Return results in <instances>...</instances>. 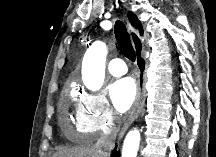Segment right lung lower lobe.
Listing matches in <instances>:
<instances>
[{"mask_svg":"<svg viewBox=\"0 0 216 157\" xmlns=\"http://www.w3.org/2000/svg\"><path fill=\"white\" fill-rule=\"evenodd\" d=\"M112 157H120L119 152H117L116 149L113 150Z\"/></svg>","mask_w":216,"mask_h":157,"instance_id":"98d812e1","label":"right lung lower lobe"}]
</instances>
